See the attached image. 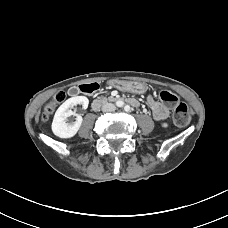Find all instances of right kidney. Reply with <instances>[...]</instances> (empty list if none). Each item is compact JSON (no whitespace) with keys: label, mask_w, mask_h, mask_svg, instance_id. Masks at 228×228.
Listing matches in <instances>:
<instances>
[{"label":"right kidney","mask_w":228,"mask_h":228,"mask_svg":"<svg viewBox=\"0 0 228 228\" xmlns=\"http://www.w3.org/2000/svg\"><path fill=\"white\" fill-rule=\"evenodd\" d=\"M78 104L87 109L89 100L85 96L71 97L57 109L51 126L54 135L59 138H71L76 135L82 124V117L75 114L71 109ZM72 115L76 116V120L69 123L68 117Z\"/></svg>","instance_id":"obj_1"}]
</instances>
